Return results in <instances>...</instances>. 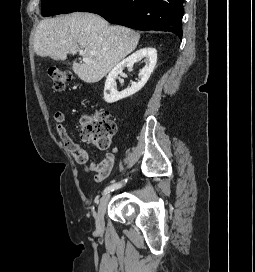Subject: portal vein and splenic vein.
<instances>
[{
    "label": "portal vein and splenic vein",
    "mask_w": 255,
    "mask_h": 272,
    "mask_svg": "<svg viewBox=\"0 0 255 272\" xmlns=\"http://www.w3.org/2000/svg\"><path fill=\"white\" fill-rule=\"evenodd\" d=\"M79 53L80 55L85 56L86 50L79 49ZM83 61L89 62V60L86 57L83 58Z\"/></svg>",
    "instance_id": "obj_1"
}]
</instances>
